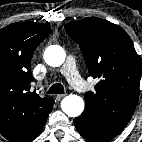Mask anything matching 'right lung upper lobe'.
Instances as JSON below:
<instances>
[{"instance_id": "1", "label": "right lung upper lobe", "mask_w": 142, "mask_h": 142, "mask_svg": "<svg viewBox=\"0 0 142 142\" xmlns=\"http://www.w3.org/2000/svg\"><path fill=\"white\" fill-rule=\"evenodd\" d=\"M51 28L42 23L11 24L0 30V133L29 142L41 133L54 101L31 90L30 63Z\"/></svg>"}]
</instances>
